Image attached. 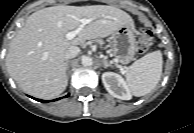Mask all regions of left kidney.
I'll return each mask as SVG.
<instances>
[{
  "mask_svg": "<svg viewBox=\"0 0 194 133\" xmlns=\"http://www.w3.org/2000/svg\"><path fill=\"white\" fill-rule=\"evenodd\" d=\"M102 82L113 97L122 100L131 99V92L121 75L114 72H105L102 74Z\"/></svg>",
  "mask_w": 194,
  "mask_h": 133,
  "instance_id": "left-kidney-1",
  "label": "left kidney"
}]
</instances>
